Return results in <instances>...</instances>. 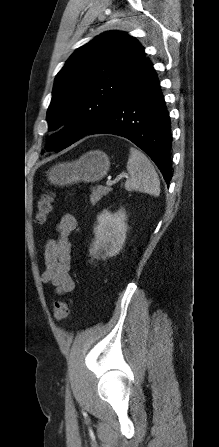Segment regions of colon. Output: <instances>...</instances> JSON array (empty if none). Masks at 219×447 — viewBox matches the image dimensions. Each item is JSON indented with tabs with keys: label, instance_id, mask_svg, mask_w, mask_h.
<instances>
[{
	"label": "colon",
	"instance_id": "obj_1",
	"mask_svg": "<svg viewBox=\"0 0 219 447\" xmlns=\"http://www.w3.org/2000/svg\"><path fill=\"white\" fill-rule=\"evenodd\" d=\"M53 203V195L50 192H45L42 194L37 202V220L39 222H44L49 216ZM70 313V308L65 301H56L53 307V318L60 322L65 320Z\"/></svg>",
	"mask_w": 219,
	"mask_h": 447
}]
</instances>
